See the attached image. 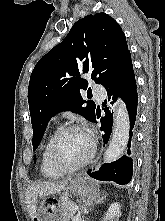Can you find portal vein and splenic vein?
I'll list each match as a JSON object with an SVG mask.
<instances>
[{"label": "portal vein and splenic vein", "mask_w": 165, "mask_h": 221, "mask_svg": "<svg viewBox=\"0 0 165 221\" xmlns=\"http://www.w3.org/2000/svg\"><path fill=\"white\" fill-rule=\"evenodd\" d=\"M72 209H73V210H78V206L75 205V204H73V205H72Z\"/></svg>", "instance_id": "portal-vein-and-splenic-vein-1"}]
</instances>
